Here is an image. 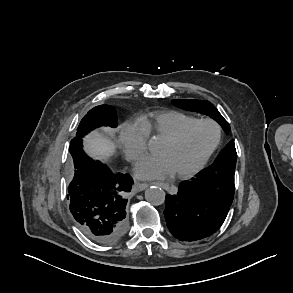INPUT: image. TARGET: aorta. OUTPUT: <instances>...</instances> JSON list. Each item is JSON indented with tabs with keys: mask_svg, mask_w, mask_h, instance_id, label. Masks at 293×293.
<instances>
[{
	"mask_svg": "<svg viewBox=\"0 0 293 293\" xmlns=\"http://www.w3.org/2000/svg\"><path fill=\"white\" fill-rule=\"evenodd\" d=\"M165 191L157 186L149 187L145 191V199L153 205H161L165 201Z\"/></svg>",
	"mask_w": 293,
	"mask_h": 293,
	"instance_id": "obj_1",
	"label": "aorta"
}]
</instances>
